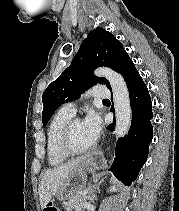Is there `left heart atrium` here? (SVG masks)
Returning a JSON list of instances; mask_svg holds the SVG:
<instances>
[{
    "label": "left heart atrium",
    "mask_w": 179,
    "mask_h": 211,
    "mask_svg": "<svg viewBox=\"0 0 179 211\" xmlns=\"http://www.w3.org/2000/svg\"><path fill=\"white\" fill-rule=\"evenodd\" d=\"M83 124L90 139L93 142L98 140L102 132V120L100 116L95 112H90L85 117Z\"/></svg>",
    "instance_id": "1"
}]
</instances>
